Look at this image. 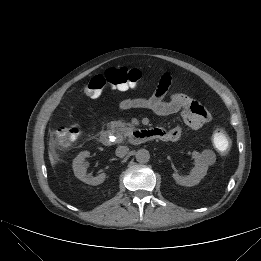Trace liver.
I'll use <instances>...</instances> for the list:
<instances>
[{"label": "liver", "instance_id": "obj_1", "mask_svg": "<svg viewBox=\"0 0 261 261\" xmlns=\"http://www.w3.org/2000/svg\"><path fill=\"white\" fill-rule=\"evenodd\" d=\"M49 159H50V162H51V164L53 166L55 164V160H54V158H53L51 153H49Z\"/></svg>", "mask_w": 261, "mask_h": 261}]
</instances>
